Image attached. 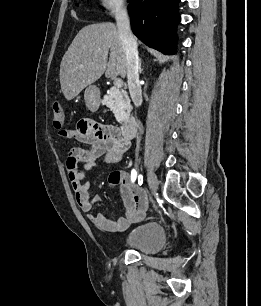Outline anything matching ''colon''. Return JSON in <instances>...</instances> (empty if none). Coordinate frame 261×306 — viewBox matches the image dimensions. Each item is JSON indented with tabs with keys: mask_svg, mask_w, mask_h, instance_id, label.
Returning a JSON list of instances; mask_svg holds the SVG:
<instances>
[{
	"mask_svg": "<svg viewBox=\"0 0 261 306\" xmlns=\"http://www.w3.org/2000/svg\"><path fill=\"white\" fill-rule=\"evenodd\" d=\"M52 125L54 129L59 130L60 133L63 131L61 130L64 120H65V113L63 108L59 103H55L52 108ZM110 180L114 183L119 182L121 180V175L118 172H113L110 175Z\"/></svg>",
	"mask_w": 261,
	"mask_h": 306,
	"instance_id": "5ec220e1",
	"label": "colon"
}]
</instances>
